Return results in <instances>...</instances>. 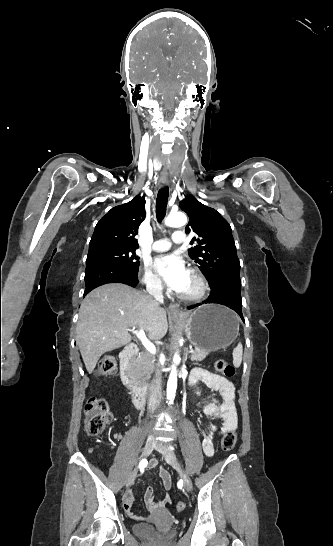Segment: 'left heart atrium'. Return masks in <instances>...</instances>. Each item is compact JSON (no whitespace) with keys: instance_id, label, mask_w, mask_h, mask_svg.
Masks as SVG:
<instances>
[{"instance_id":"left-heart-atrium-1","label":"left heart atrium","mask_w":333,"mask_h":546,"mask_svg":"<svg viewBox=\"0 0 333 546\" xmlns=\"http://www.w3.org/2000/svg\"><path fill=\"white\" fill-rule=\"evenodd\" d=\"M155 270L163 277L166 284L177 292H182L190 279V272L185 263L175 254H166L154 260Z\"/></svg>"}]
</instances>
